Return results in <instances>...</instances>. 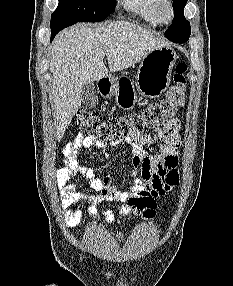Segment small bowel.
<instances>
[{
  "instance_id": "1",
  "label": "small bowel",
  "mask_w": 233,
  "mask_h": 286,
  "mask_svg": "<svg viewBox=\"0 0 233 286\" xmlns=\"http://www.w3.org/2000/svg\"><path fill=\"white\" fill-rule=\"evenodd\" d=\"M180 125L178 118H171L163 127L155 130V136L159 142V151L156 154H150L144 149L146 143L154 141L151 135L140 134L125 139L131 147L132 176L134 177L128 191L115 188L109 176L100 177L94 168L78 161V155L82 150L92 147L104 150L108 146L107 142L91 134L79 133L74 141L65 147L64 167L57 170L55 174L63 217L68 226L75 228L83 219V211L69 209L77 201L89 203L87 214L92 222H98L100 206L103 203L119 202L121 204L118 209L119 214L121 216L131 215L128 202L143 191L150 193L152 203L142 215L146 219L152 218L155 215V198L165 195L179 182L177 166ZM118 144L119 142L110 143L111 146ZM75 176L82 177L87 186L97 194L88 195L76 184L71 183L70 179ZM102 214L109 223L115 220V213L112 210L103 209Z\"/></svg>"
}]
</instances>
